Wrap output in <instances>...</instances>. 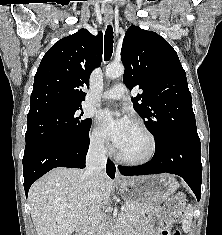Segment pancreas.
<instances>
[{"instance_id": "1", "label": "pancreas", "mask_w": 222, "mask_h": 235, "mask_svg": "<svg viewBox=\"0 0 222 235\" xmlns=\"http://www.w3.org/2000/svg\"><path fill=\"white\" fill-rule=\"evenodd\" d=\"M159 211H160L159 206H153V207H148V208L142 209V208L135 207V206L128 203L126 205L125 214L127 215L128 219L130 221H135V220L139 219L144 214H147L149 212H159Z\"/></svg>"}]
</instances>
